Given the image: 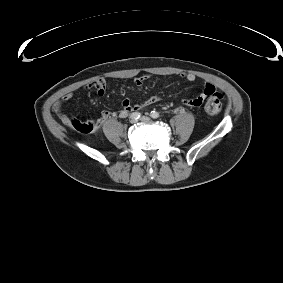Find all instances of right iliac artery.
Listing matches in <instances>:
<instances>
[{
    "mask_svg": "<svg viewBox=\"0 0 283 283\" xmlns=\"http://www.w3.org/2000/svg\"><path fill=\"white\" fill-rule=\"evenodd\" d=\"M131 117L138 119V118H140V113H138V112L132 113Z\"/></svg>",
    "mask_w": 283,
    "mask_h": 283,
    "instance_id": "right-iliac-artery-1",
    "label": "right iliac artery"
}]
</instances>
